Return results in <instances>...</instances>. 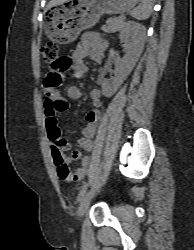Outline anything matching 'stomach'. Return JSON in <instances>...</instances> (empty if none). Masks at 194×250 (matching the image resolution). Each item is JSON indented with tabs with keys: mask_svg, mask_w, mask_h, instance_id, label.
<instances>
[{
	"mask_svg": "<svg viewBox=\"0 0 194 250\" xmlns=\"http://www.w3.org/2000/svg\"><path fill=\"white\" fill-rule=\"evenodd\" d=\"M71 4L54 5L48 9L46 19L47 37L59 44H69L81 31L93 27L100 17L124 13L134 8L140 0H71Z\"/></svg>",
	"mask_w": 194,
	"mask_h": 250,
	"instance_id": "1",
	"label": "stomach"
}]
</instances>
